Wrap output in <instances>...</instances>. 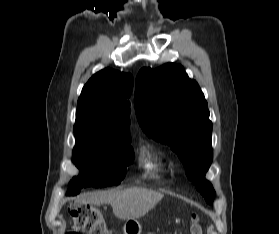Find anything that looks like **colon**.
<instances>
[{"label": "colon", "instance_id": "colon-1", "mask_svg": "<svg viewBox=\"0 0 279 234\" xmlns=\"http://www.w3.org/2000/svg\"><path fill=\"white\" fill-rule=\"evenodd\" d=\"M74 229L68 234H113L102 212L91 206H78L72 211ZM191 234H202L195 215L191 218Z\"/></svg>", "mask_w": 279, "mask_h": 234}]
</instances>
